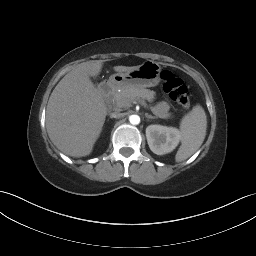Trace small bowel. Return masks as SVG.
I'll return each instance as SVG.
<instances>
[{
	"label": "small bowel",
	"mask_w": 256,
	"mask_h": 256,
	"mask_svg": "<svg viewBox=\"0 0 256 256\" xmlns=\"http://www.w3.org/2000/svg\"><path fill=\"white\" fill-rule=\"evenodd\" d=\"M155 112L161 117H169L170 107L167 102H160L155 107Z\"/></svg>",
	"instance_id": "obj_1"
}]
</instances>
